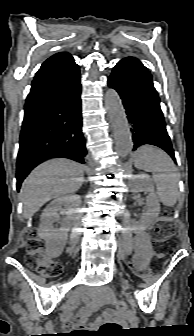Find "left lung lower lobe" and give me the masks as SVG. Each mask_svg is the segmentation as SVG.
<instances>
[{
  "label": "left lung lower lobe",
  "mask_w": 194,
  "mask_h": 336,
  "mask_svg": "<svg viewBox=\"0 0 194 336\" xmlns=\"http://www.w3.org/2000/svg\"><path fill=\"white\" fill-rule=\"evenodd\" d=\"M108 85L118 92L126 109L134 142L133 150L144 144L155 145L176 162L160 99L148 69L136 58H124L114 67Z\"/></svg>",
  "instance_id": "obj_1"
}]
</instances>
